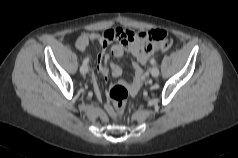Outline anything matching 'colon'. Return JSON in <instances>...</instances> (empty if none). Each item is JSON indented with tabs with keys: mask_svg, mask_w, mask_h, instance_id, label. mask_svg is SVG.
<instances>
[{
	"mask_svg": "<svg viewBox=\"0 0 238 158\" xmlns=\"http://www.w3.org/2000/svg\"><path fill=\"white\" fill-rule=\"evenodd\" d=\"M157 40V47L160 51H167L172 45V41L162 34L153 36ZM128 89L122 84L113 85L108 91V112L114 118L121 117L127 107Z\"/></svg>",
	"mask_w": 238,
	"mask_h": 158,
	"instance_id": "obj_1",
	"label": "colon"
}]
</instances>
